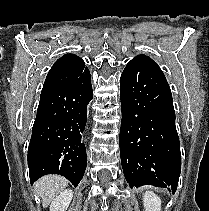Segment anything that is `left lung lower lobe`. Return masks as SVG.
<instances>
[{"mask_svg": "<svg viewBox=\"0 0 209 211\" xmlns=\"http://www.w3.org/2000/svg\"><path fill=\"white\" fill-rule=\"evenodd\" d=\"M120 97L119 145L127 182L131 188L171 186L175 193L180 145L171 90L160 67L145 55L129 61L121 75Z\"/></svg>", "mask_w": 209, "mask_h": 211, "instance_id": "0a47b994", "label": "left lung lower lobe"}]
</instances>
